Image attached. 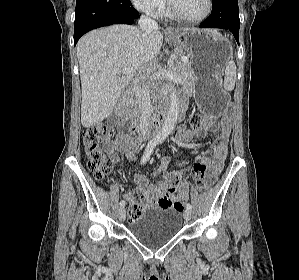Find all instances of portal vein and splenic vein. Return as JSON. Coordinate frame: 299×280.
Wrapping results in <instances>:
<instances>
[{"instance_id":"portal-vein-and-splenic-vein-1","label":"portal vein and splenic vein","mask_w":299,"mask_h":280,"mask_svg":"<svg viewBox=\"0 0 299 280\" xmlns=\"http://www.w3.org/2000/svg\"><path fill=\"white\" fill-rule=\"evenodd\" d=\"M187 61H188L187 57H182V62L183 63L187 62ZM132 72H134L133 69H131V68H125V69H122L119 73L123 74V75H129Z\"/></svg>"}]
</instances>
